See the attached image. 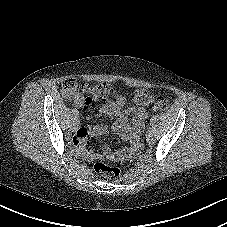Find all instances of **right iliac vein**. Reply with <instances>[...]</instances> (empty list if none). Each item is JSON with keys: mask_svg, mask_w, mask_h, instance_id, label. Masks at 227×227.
I'll return each mask as SVG.
<instances>
[{"mask_svg": "<svg viewBox=\"0 0 227 227\" xmlns=\"http://www.w3.org/2000/svg\"><path fill=\"white\" fill-rule=\"evenodd\" d=\"M77 128H78V123L75 122V123L71 126V129H72L73 131H75Z\"/></svg>", "mask_w": 227, "mask_h": 227, "instance_id": "1", "label": "right iliac vein"}]
</instances>
